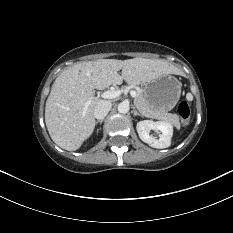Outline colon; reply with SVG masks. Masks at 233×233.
I'll use <instances>...</instances> for the list:
<instances>
[{
    "mask_svg": "<svg viewBox=\"0 0 233 233\" xmlns=\"http://www.w3.org/2000/svg\"><path fill=\"white\" fill-rule=\"evenodd\" d=\"M177 112L183 125H187L191 115V108L188 101L183 100L177 106Z\"/></svg>",
    "mask_w": 233,
    "mask_h": 233,
    "instance_id": "obj_1",
    "label": "colon"
}]
</instances>
